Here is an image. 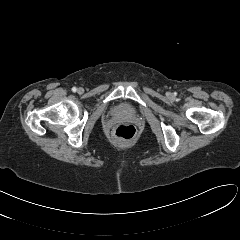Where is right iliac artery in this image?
I'll list each match as a JSON object with an SVG mask.
<instances>
[{
  "mask_svg": "<svg viewBox=\"0 0 240 240\" xmlns=\"http://www.w3.org/2000/svg\"><path fill=\"white\" fill-rule=\"evenodd\" d=\"M72 91H73V92H76V91H77V88H76V87H73V88H72Z\"/></svg>",
  "mask_w": 240,
  "mask_h": 240,
  "instance_id": "1",
  "label": "right iliac artery"
}]
</instances>
